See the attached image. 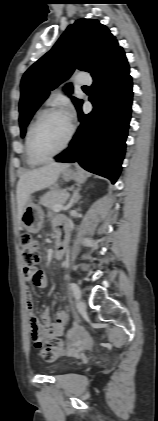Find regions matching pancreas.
Here are the masks:
<instances>
[{
	"label": "pancreas",
	"instance_id": "cf45deb5",
	"mask_svg": "<svg viewBox=\"0 0 158 421\" xmlns=\"http://www.w3.org/2000/svg\"><path fill=\"white\" fill-rule=\"evenodd\" d=\"M69 197L67 190H51L41 198V204L51 210L63 205Z\"/></svg>",
	"mask_w": 158,
	"mask_h": 421
}]
</instances>
